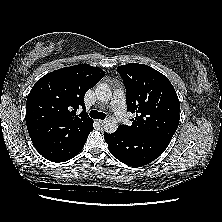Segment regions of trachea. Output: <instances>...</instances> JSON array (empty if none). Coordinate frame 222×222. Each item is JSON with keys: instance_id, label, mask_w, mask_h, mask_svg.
<instances>
[{"instance_id": "obj_1", "label": "trachea", "mask_w": 222, "mask_h": 222, "mask_svg": "<svg viewBox=\"0 0 222 222\" xmlns=\"http://www.w3.org/2000/svg\"><path fill=\"white\" fill-rule=\"evenodd\" d=\"M90 117L94 119H101L104 120L106 118V115L103 112H98L96 110H92L90 112Z\"/></svg>"}]
</instances>
